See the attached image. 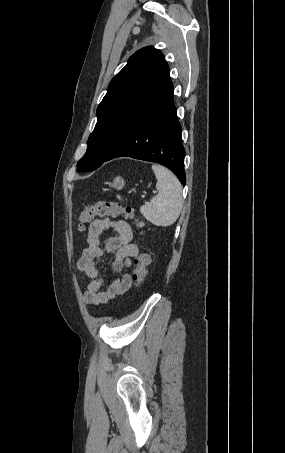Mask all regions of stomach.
Returning <instances> with one entry per match:
<instances>
[{"instance_id":"stomach-1","label":"stomach","mask_w":285,"mask_h":453,"mask_svg":"<svg viewBox=\"0 0 285 453\" xmlns=\"http://www.w3.org/2000/svg\"><path fill=\"white\" fill-rule=\"evenodd\" d=\"M110 186L117 189L121 190L125 186V181L122 177L117 176L114 178V180L110 183Z\"/></svg>"}]
</instances>
